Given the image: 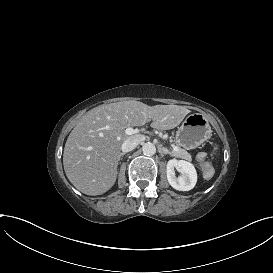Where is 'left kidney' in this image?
Masks as SVG:
<instances>
[{"label":"left kidney","instance_id":"obj_1","mask_svg":"<svg viewBox=\"0 0 273 273\" xmlns=\"http://www.w3.org/2000/svg\"><path fill=\"white\" fill-rule=\"evenodd\" d=\"M174 168L181 173L179 177H176ZM167 179L174 189L179 191H189L196 185L197 172L190 162L171 159L167 163Z\"/></svg>","mask_w":273,"mask_h":273}]
</instances>
